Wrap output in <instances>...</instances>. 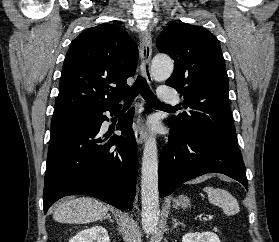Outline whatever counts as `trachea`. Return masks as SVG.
Segmentation results:
<instances>
[{
    "mask_svg": "<svg viewBox=\"0 0 279 242\" xmlns=\"http://www.w3.org/2000/svg\"><path fill=\"white\" fill-rule=\"evenodd\" d=\"M141 93L144 100L149 104L153 106L158 107H166V108H174L170 105H166L154 95V93L151 91L146 79L143 76H138L134 84L129 88L128 91H126L124 94H122L123 99L125 100L126 105H130L134 98Z\"/></svg>",
    "mask_w": 279,
    "mask_h": 242,
    "instance_id": "obj_1",
    "label": "trachea"
}]
</instances>
